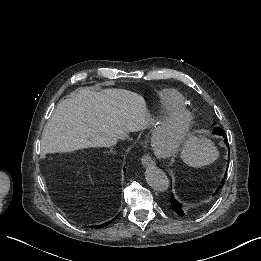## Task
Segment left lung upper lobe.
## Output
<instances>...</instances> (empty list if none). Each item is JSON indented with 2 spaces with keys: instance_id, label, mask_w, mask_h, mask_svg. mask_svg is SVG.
<instances>
[{
  "instance_id": "obj_1",
  "label": "left lung upper lobe",
  "mask_w": 261,
  "mask_h": 261,
  "mask_svg": "<svg viewBox=\"0 0 261 261\" xmlns=\"http://www.w3.org/2000/svg\"><path fill=\"white\" fill-rule=\"evenodd\" d=\"M213 132L217 135H221V136L225 137V132L220 128H215V130Z\"/></svg>"
}]
</instances>
